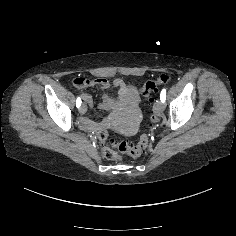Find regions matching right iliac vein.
I'll list each match as a JSON object with an SVG mask.
<instances>
[{
	"instance_id": "right-iliac-vein-1",
	"label": "right iliac vein",
	"mask_w": 236,
	"mask_h": 236,
	"mask_svg": "<svg viewBox=\"0 0 236 236\" xmlns=\"http://www.w3.org/2000/svg\"><path fill=\"white\" fill-rule=\"evenodd\" d=\"M79 112L81 114H84L86 112V105L85 104H82V106L79 108Z\"/></svg>"
}]
</instances>
